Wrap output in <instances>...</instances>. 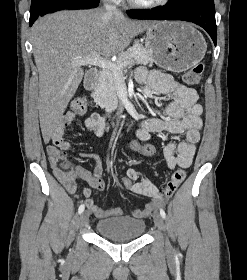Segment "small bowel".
<instances>
[{
	"label": "small bowel",
	"instance_id": "small-bowel-1",
	"mask_svg": "<svg viewBox=\"0 0 247 280\" xmlns=\"http://www.w3.org/2000/svg\"><path fill=\"white\" fill-rule=\"evenodd\" d=\"M136 80L140 84L147 85L153 91L166 95L169 100L168 105L159 117L147 118L140 123L136 136L139 139H146L150 143L149 140L153 133L167 131L174 134H185L184 141L178 144L175 142L166 144L163 149V156L169 169L190 167L202 129V106L198 103L197 92L179 84L170 75L156 70L147 71L145 68H139L136 71ZM74 119V113L68 112L54 128L51 140L57 148L64 151L70 149V143L64 138V134ZM105 126L106 119L99 113H92L84 120V127L98 137L103 136ZM80 157L94 160L96 167L91 172L79 165L74 166V174L71 179H60L64 187L69 193L75 194L80 184L77 179H80L81 182L87 183L91 188L103 190L102 168L98 156L80 154ZM126 176L133 181V186L127 189L134 194L152 200L144 208L131 211L134 218L146 217L158 203L162 202L160 191L148 178L142 177L135 169H129ZM80 195L84 198L87 208L97 218L104 219L124 214V210L121 208L105 209L98 206L91 198L89 188H83Z\"/></svg>",
	"mask_w": 247,
	"mask_h": 280
}]
</instances>
